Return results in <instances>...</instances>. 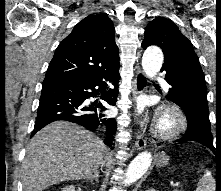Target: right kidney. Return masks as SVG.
Instances as JSON below:
<instances>
[{
  "mask_svg": "<svg viewBox=\"0 0 221 191\" xmlns=\"http://www.w3.org/2000/svg\"><path fill=\"white\" fill-rule=\"evenodd\" d=\"M61 191H77V190H76L75 186L69 185V186L63 188Z\"/></svg>",
  "mask_w": 221,
  "mask_h": 191,
  "instance_id": "right-kidney-1",
  "label": "right kidney"
}]
</instances>
